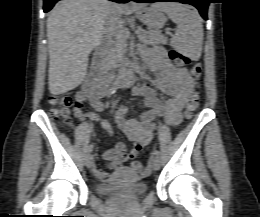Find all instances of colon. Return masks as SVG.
<instances>
[{"label": "colon", "mask_w": 260, "mask_h": 217, "mask_svg": "<svg viewBox=\"0 0 260 217\" xmlns=\"http://www.w3.org/2000/svg\"><path fill=\"white\" fill-rule=\"evenodd\" d=\"M170 59L178 66L188 64L191 59L182 54L179 51L173 50L169 53ZM202 68L199 63H195L192 67L191 73L197 82L201 76ZM78 96L74 99L71 96H51L49 98V102L54 106L52 111L50 112L51 117L55 119H60L66 124H70L71 117L69 114V108L72 105H75L78 101ZM199 104V94L198 92H194L186 105L185 116L186 118H191L193 113L197 110ZM133 169L136 172H142L144 169V165L141 162H134L132 165Z\"/></svg>", "instance_id": "colon-1"}]
</instances>
